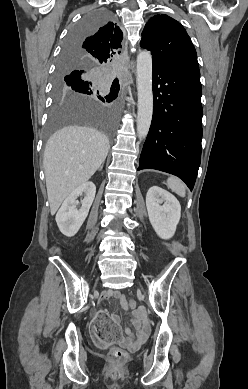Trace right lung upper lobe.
I'll return each mask as SVG.
<instances>
[{
	"label": "right lung upper lobe",
	"instance_id": "cb5924a9",
	"mask_svg": "<svg viewBox=\"0 0 248 389\" xmlns=\"http://www.w3.org/2000/svg\"><path fill=\"white\" fill-rule=\"evenodd\" d=\"M123 42V33L119 26L116 23L107 22L93 34L64 49L60 59H64V66L74 59L77 63L95 68L105 67L111 63L113 57L121 52ZM113 83L117 84L118 80L115 79Z\"/></svg>",
	"mask_w": 248,
	"mask_h": 389
}]
</instances>
